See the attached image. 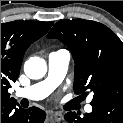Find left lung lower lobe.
<instances>
[{"label":"left lung lower lobe","instance_id":"obj_1","mask_svg":"<svg viewBox=\"0 0 123 123\" xmlns=\"http://www.w3.org/2000/svg\"><path fill=\"white\" fill-rule=\"evenodd\" d=\"M92 107V112L83 117H79L75 112H68L64 118L69 123H123V105L105 102Z\"/></svg>","mask_w":123,"mask_h":123}]
</instances>
